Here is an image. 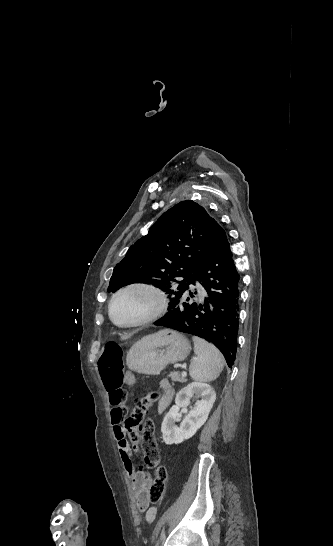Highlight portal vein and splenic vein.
<instances>
[{
  "instance_id": "portal-vein-and-splenic-vein-1",
  "label": "portal vein and splenic vein",
  "mask_w": 333,
  "mask_h": 546,
  "mask_svg": "<svg viewBox=\"0 0 333 546\" xmlns=\"http://www.w3.org/2000/svg\"><path fill=\"white\" fill-rule=\"evenodd\" d=\"M187 375V373L184 371L182 372V376L185 377Z\"/></svg>"
}]
</instances>
